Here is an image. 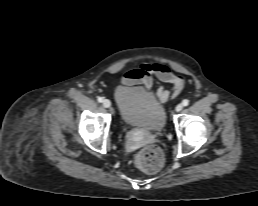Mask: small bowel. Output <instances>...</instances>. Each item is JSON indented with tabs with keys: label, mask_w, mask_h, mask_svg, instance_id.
I'll list each match as a JSON object with an SVG mask.
<instances>
[{
	"label": "small bowel",
	"mask_w": 258,
	"mask_h": 206,
	"mask_svg": "<svg viewBox=\"0 0 258 206\" xmlns=\"http://www.w3.org/2000/svg\"><path fill=\"white\" fill-rule=\"evenodd\" d=\"M121 82L125 86L142 84L146 90H151L155 83L170 84L169 89L162 85H159L157 89L156 96L161 103L176 98L185 85V80L181 75L173 73L166 65L157 62L142 63L138 68L127 71Z\"/></svg>",
	"instance_id": "1"
}]
</instances>
